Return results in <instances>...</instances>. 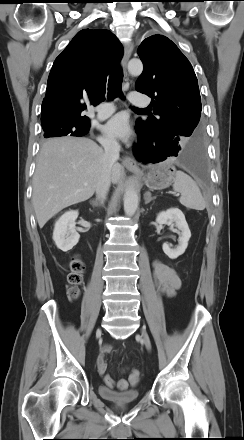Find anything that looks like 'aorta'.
I'll list each match as a JSON object with an SVG mask.
<instances>
[{
  "mask_svg": "<svg viewBox=\"0 0 244 440\" xmlns=\"http://www.w3.org/2000/svg\"><path fill=\"white\" fill-rule=\"evenodd\" d=\"M128 71L138 76L143 71V64L138 59H132L128 63ZM138 207V193L133 184H130L124 194V211L127 216H133Z\"/></svg>",
  "mask_w": 244,
  "mask_h": 440,
  "instance_id": "obj_1",
  "label": "aorta"
}]
</instances>
